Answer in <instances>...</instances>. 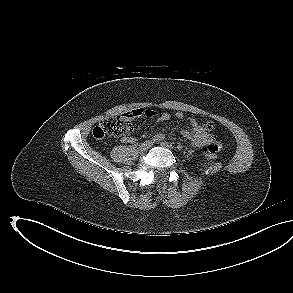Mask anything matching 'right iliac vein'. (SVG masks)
<instances>
[{"label":"right iliac vein","mask_w":293,"mask_h":293,"mask_svg":"<svg viewBox=\"0 0 293 293\" xmlns=\"http://www.w3.org/2000/svg\"><path fill=\"white\" fill-rule=\"evenodd\" d=\"M152 146V141H146L142 143L139 147L140 152H145L147 151L150 147Z\"/></svg>","instance_id":"1"}]
</instances>
